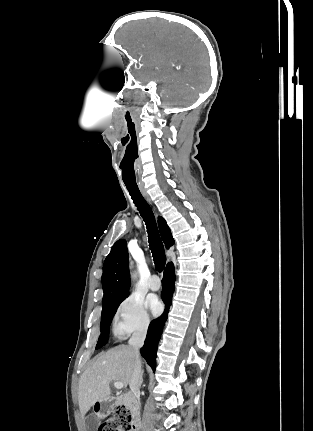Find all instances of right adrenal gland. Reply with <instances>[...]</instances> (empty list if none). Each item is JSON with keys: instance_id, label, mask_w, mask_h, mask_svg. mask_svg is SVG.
Returning <instances> with one entry per match:
<instances>
[{"instance_id": "1", "label": "right adrenal gland", "mask_w": 313, "mask_h": 431, "mask_svg": "<svg viewBox=\"0 0 313 431\" xmlns=\"http://www.w3.org/2000/svg\"><path fill=\"white\" fill-rule=\"evenodd\" d=\"M143 373H144V370H142V372H141V377H140V384L142 385V383H143Z\"/></svg>"}]
</instances>
